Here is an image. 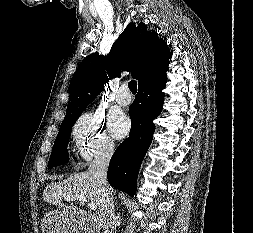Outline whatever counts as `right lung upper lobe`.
I'll return each mask as SVG.
<instances>
[{
    "mask_svg": "<svg viewBox=\"0 0 253 233\" xmlns=\"http://www.w3.org/2000/svg\"><path fill=\"white\" fill-rule=\"evenodd\" d=\"M169 58L167 43L155 31H149L144 23H129L107 56L95 52L80 63L70 82L65 118L84 111L104 89V84L120 75L121 70L131 71L139 86L168 69Z\"/></svg>",
    "mask_w": 253,
    "mask_h": 233,
    "instance_id": "cb5924a9",
    "label": "right lung upper lobe"
}]
</instances>
